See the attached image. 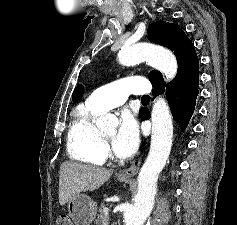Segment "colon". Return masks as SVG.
<instances>
[{"mask_svg":"<svg viewBox=\"0 0 237 225\" xmlns=\"http://www.w3.org/2000/svg\"><path fill=\"white\" fill-rule=\"evenodd\" d=\"M56 225H73L68 215H60L57 217Z\"/></svg>","mask_w":237,"mask_h":225,"instance_id":"5ec220e1","label":"colon"}]
</instances>
